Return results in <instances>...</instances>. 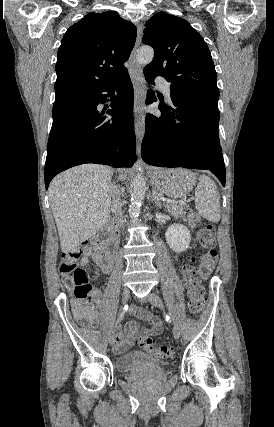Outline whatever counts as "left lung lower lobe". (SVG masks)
<instances>
[{
	"label": "left lung lower lobe",
	"mask_w": 274,
	"mask_h": 427,
	"mask_svg": "<svg viewBox=\"0 0 274 427\" xmlns=\"http://www.w3.org/2000/svg\"><path fill=\"white\" fill-rule=\"evenodd\" d=\"M155 74L145 73L154 84ZM146 103L156 102L152 91ZM161 115L147 114L142 159L153 166L210 170L223 186L226 171L218 136V101L171 90L169 106L160 104Z\"/></svg>",
	"instance_id": "obj_1"
}]
</instances>
